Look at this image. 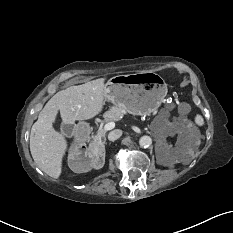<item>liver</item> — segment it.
Here are the masks:
<instances>
[{
  "mask_svg": "<svg viewBox=\"0 0 233 233\" xmlns=\"http://www.w3.org/2000/svg\"><path fill=\"white\" fill-rule=\"evenodd\" d=\"M105 104L104 79H96L57 92L40 111L30 134V152L36 165L52 178L62 172V160L68 149L64 132L53 128L58 112L63 123L89 120L101 113Z\"/></svg>",
  "mask_w": 233,
  "mask_h": 233,
  "instance_id": "liver-1",
  "label": "liver"
}]
</instances>
